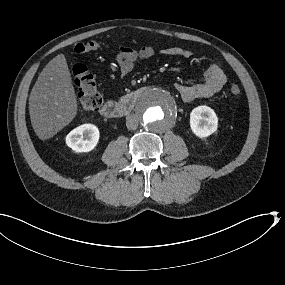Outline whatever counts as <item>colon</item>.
Wrapping results in <instances>:
<instances>
[{
  "mask_svg": "<svg viewBox=\"0 0 285 285\" xmlns=\"http://www.w3.org/2000/svg\"><path fill=\"white\" fill-rule=\"evenodd\" d=\"M103 46L102 43L96 40H89L77 44L74 47V52L76 54H85ZM72 75L79 89L78 97L81 110L84 112L98 110L103 103V97L93 73L84 64L78 63L73 66ZM229 92L232 96H238L241 89L238 85L233 84L230 86Z\"/></svg>",
  "mask_w": 285,
  "mask_h": 285,
  "instance_id": "1",
  "label": "colon"
}]
</instances>
